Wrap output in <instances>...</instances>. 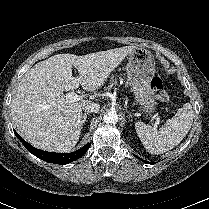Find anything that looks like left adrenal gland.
<instances>
[{"label":"left adrenal gland","mask_w":209,"mask_h":209,"mask_svg":"<svg viewBox=\"0 0 209 209\" xmlns=\"http://www.w3.org/2000/svg\"><path fill=\"white\" fill-rule=\"evenodd\" d=\"M127 112L129 114V117H131V120H132V114H131V112H129V111H127Z\"/></svg>","instance_id":"left-adrenal-gland-1"}]
</instances>
